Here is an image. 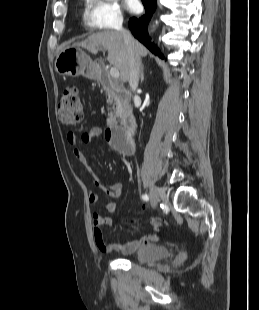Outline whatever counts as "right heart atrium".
Here are the masks:
<instances>
[{
	"label": "right heart atrium",
	"mask_w": 259,
	"mask_h": 310,
	"mask_svg": "<svg viewBox=\"0 0 259 310\" xmlns=\"http://www.w3.org/2000/svg\"><path fill=\"white\" fill-rule=\"evenodd\" d=\"M88 19L97 28L115 29L123 22V12L116 0H87Z\"/></svg>",
	"instance_id": "1"
}]
</instances>
